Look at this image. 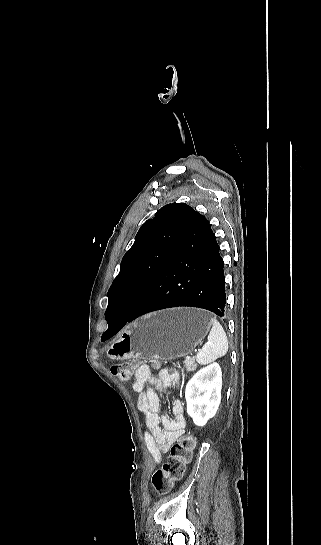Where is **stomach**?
Instances as JSON below:
<instances>
[{
  "label": "stomach",
  "mask_w": 321,
  "mask_h": 545,
  "mask_svg": "<svg viewBox=\"0 0 321 545\" xmlns=\"http://www.w3.org/2000/svg\"><path fill=\"white\" fill-rule=\"evenodd\" d=\"M211 317L203 309L176 307L130 323L111 343L110 359H177L192 353L206 337Z\"/></svg>",
  "instance_id": "0dacf381"
}]
</instances>
